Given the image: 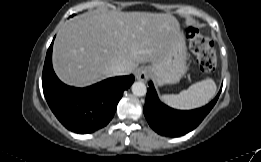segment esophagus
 Wrapping results in <instances>:
<instances>
[{"label": "esophagus", "mask_w": 261, "mask_h": 162, "mask_svg": "<svg viewBox=\"0 0 261 162\" xmlns=\"http://www.w3.org/2000/svg\"><path fill=\"white\" fill-rule=\"evenodd\" d=\"M149 74V69L146 67H140L135 71V77L140 81H146L149 78Z\"/></svg>", "instance_id": "34e87169"}]
</instances>
